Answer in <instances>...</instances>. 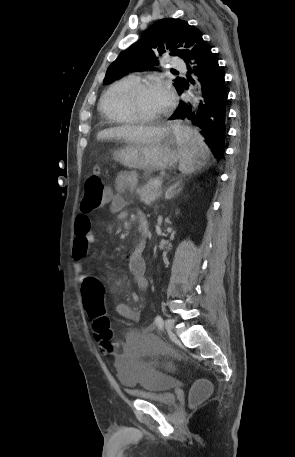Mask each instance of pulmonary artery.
<instances>
[{
  "label": "pulmonary artery",
  "mask_w": 295,
  "mask_h": 457,
  "mask_svg": "<svg viewBox=\"0 0 295 457\" xmlns=\"http://www.w3.org/2000/svg\"><path fill=\"white\" fill-rule=\"evenodd\" d=\"M170 66L174 69L177 70H184L185 69V64L184 62L178 58V57H173L170 59Z\"/></svg>",
  "instance_id": "e3ab8cb5"
}]
</instances>
